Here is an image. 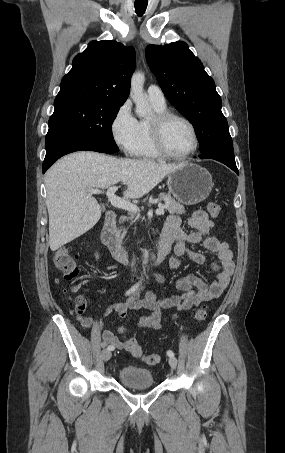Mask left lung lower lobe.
Returning <instances> with one entry per match:
<instances>
[{
	"mask_svg": "<svg viewBox=\"0 0 285 453\" xmlns=\"http://www.w3.org/2000/svg\"><path fill=\"white\" fill-rule=\"evenodd\" d=\"M199 158L217 160V161L227 165L235 173L239 174L238 169L236 167V163H235V157H234L233 151H231V150L222 149V148L212 149L205 153H201L199 155Z\"/></svg>",
	"mask_w": 285,
	"mask_h": 453,
	"instance_id": "obj_1",
	"label": "left lung lower lobe"
}]
</instances>
